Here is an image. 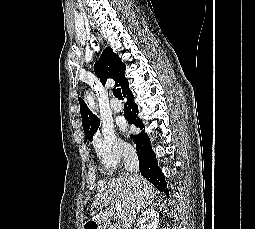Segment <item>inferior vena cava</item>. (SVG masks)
I'll list each match as a JSON object with an SVG mask.
<instances>
[{
    "instance_id": "inferior-vena-cava-1",
    "label": "inferior vena cava",
    "mask_w": 255,
    "mask_h": 229,
    "mask_svg": "<svg viewBox=\"0 0 255 229\" xmlns=\"http://www.w3.org/2000/svg\"><path fill=\"white\" fill-rule=\"evenodd\" d=\"M124 168L131 173L139 171V160L134 148H128L124 151Z\"/></svg>"
}]
</instances>
